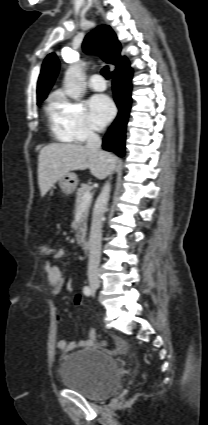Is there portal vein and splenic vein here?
I'll use <instances>...</instances> for the list:
<instances>
[{"label":"portal vein and splenic vein","mask_w":208,"mask_h":425,"mask_svg":"<svg viewBox=\"0 0 208 425\" xmlns=\"http://www.w3.org/2000/svg\"><path fill=\"white\" fill-rule=\"evenodd\" d=\"M92 199V194L90 192H86L83 196L82 202H81V208L84 209L87 205V203Z\"/></svg>","instance_id":"1"}]
</instances>
